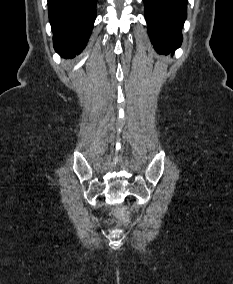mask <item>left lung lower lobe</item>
<instances>
[{"mask_svg":"<svg viewBox=\"0 0 233 284\" xmlns=\"http://www.w3.org/2000/svg\"><path fill=\"white\" fill-rule=\"evenodd\" d=\"M148 33L156 51L169 54L182 43L181 29L187 16V0H143Z\"/></svg>","mask_w":233,"mask_h":284,"instance_id":"1","label":"left lung lower lobe"}]
</instances>
